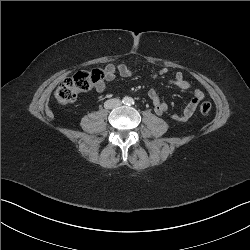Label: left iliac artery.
I'll use <instances>...</instances> for the list:
<instances>
[{"mask_svg": "<svg viewBox=\"0 0 250 250\" xmlns=\"http://www.w3.org/2000/svg\"><path fill=\"white\" fill-rule=\"evenodd\" d=\"M129 103H130V104H134V100H133V99H130Z\"/></svg>", "mask_w": 250, "mask_h": 250, "instance_id": "obj_1", "label": "left iliac artery"}]
</instances>
